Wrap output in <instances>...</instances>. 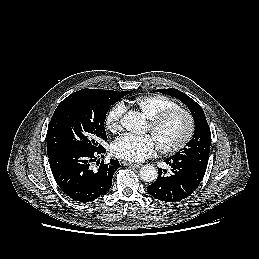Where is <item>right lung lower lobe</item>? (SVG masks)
<instances>
[{"label": "right lung lower lobe", "instance_id": "98d812e1", "mask_svg": "<svg viewBox=\"0 0 259 259\" xmlns=\"http://www.w3.org/2000/svg\"><path fill=\"white\" fill-rule=\"evenodd\" d=\"M103 153L105 148L102 147L96 151L62 150L48 156L52 174L66 195L79 202H89L110 189L113 174L120 167L119 162L114 159L107 164L99 162L97 171L90 167L96 157Z\"/></svg>", "mask_w": 259, "mask_h": 259}]
</instances>
